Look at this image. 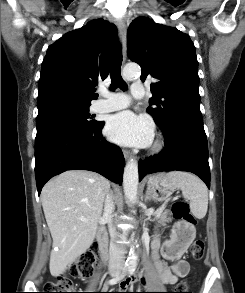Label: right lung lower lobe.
Wrapping results in <instances>:
<instances>
[{
    "mask_svg": "<svg viewBox=\"0 0 245 293\" xmlns=\"http://www.w3.org/2000/svg\"><path fill=\"white\" fill-rule=\"evenodd\" d=\"M104 122L87 129L55 133L35 145V175L38 194L53 176L67 170H90L122 184L125 160L119 147L101 135Z\"/></svg>",
    "mask_w": 245,
    "mask_h": 293,
    "instance_id": "98d812e1",
    "label": "right lung lower lobe"
}]
</instances>
